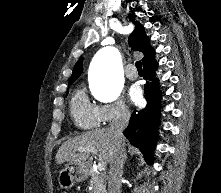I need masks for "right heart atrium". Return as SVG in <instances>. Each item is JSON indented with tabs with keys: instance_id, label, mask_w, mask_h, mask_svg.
I'll use <instances>...</instances> for the list:
<instances>
[{
	"instance_id": "right-heart-atrium-1",
	"label": "right heart atrium",
	"mask_w": 221,
	"mask_h": 193,
	"mask_svg": "<svg viewBox=\"0 0 221 193\" xmlns=\"http://www.w3.org/2000/svg\"><path fill=\"white\" fill-rule=\"evenodd\" d=\"M98 109L100 121L103 124L124 120L130 116V109L122 99L99 105Z\"/></svg>"
}]
</instances>
